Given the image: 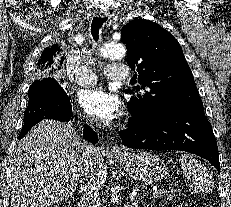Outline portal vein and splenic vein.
Masks as SVG:
<instances>
[{
	"label": "portal vein and splenic vein",
	"mask_w": 231,
	"mask_h": 207,
	"mask_svg": "<svg viewBox=\"0 0 231 207\" xmlns=\"http://www.w3.org/2000/svg\"><path fill=\"white\" fill-rule=\"evenodd\" d=\"M163 193H164V192L161 191V190H156V191L153 192L152 195H153V197H159V196H161ZM132 199H133V196H132Z\"/></svg>",
	"instance_id": "portal-vein-and-splenic-vein-1"
}]
</instances>
